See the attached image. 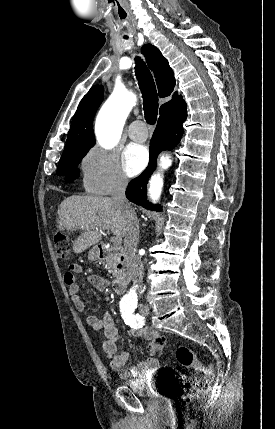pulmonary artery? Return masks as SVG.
<instances>
[{
	"mask_svg": "<svg viewBox=\"0 0 275 429\" xmlns=\"http://www.w3.org/2000/svg\"><path fill=\"white\" fill-rule=\"evenodd\" d=\"M129 137L136 142H143L148 137V131L141 120L133 121L128 129Z\"/></svg>",
	"mask_w": 275,
	"mask_h": 429,
	"instance_id": "obj_1",
	"label": "pulmonary artery"
}]
</instances>
